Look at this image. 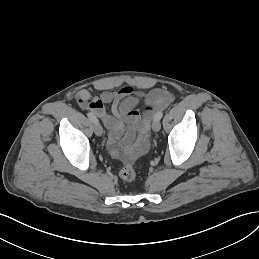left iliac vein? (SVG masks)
Wrapping results in <instances>:
<instances>
[{
	"label": "left iliac vein",
	"mask_w": 259,
	"mask_h": 259,
	"mask_svg": "<svg viewBox=\"0 0 259 259\" xmlns=\"http://www.w3.org/2000/svg\"><path fill=\"white\" fill-rule=\"evenodd\" d=\"M152 129H153L155 132H158V131L161 129V124H160V121H159V120H154V121H153Z\"/></svg>",
	"instance_id": "left-iliac-vein-1"
}]
</instances>
